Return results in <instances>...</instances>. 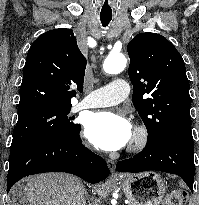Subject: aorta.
<instances>
[{
  "label": "aorta",
  "instance_id": "obj_1",
  "mask_svg": "<svg viewBox=\"0 0 199 205\" xmlns=\"http://www.w3.org/2000/svg\"><path fill=\"white\" fill-rule=\"evenodd\" d=\"M127 60L123 54H111L104 63L103 69L108 74H118L126 67Z\"/></svg>",
  "mask_w": 199,
  "mask_h": 205
}]
</instances>
